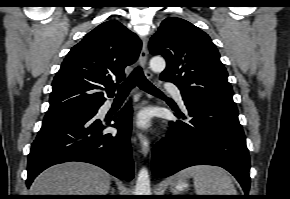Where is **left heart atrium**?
Returning a JSON list of instances; mask_svg holds the SVG:
<instances>
[{
    "label": "left heart atrium",
    "instance_id": "1",
    "mask_svg": "<svg viewBox=\"0 0 290 199\" xmlns=\"http://www.w3.org/2000/svg\"><path fill=\"white\" fill-rule=\"evenodd\" d=\"M136 123L140 127H148L150 124V115L147 111H142L136 118Z\"/></svg>",
    "mask_w": 290,
    "mask_h": 199
}]
</instances>
